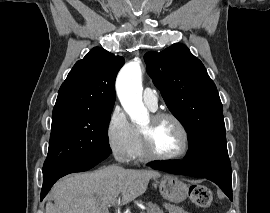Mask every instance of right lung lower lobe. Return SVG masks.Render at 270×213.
I'll use <instances>...</instances> for the list:
<instances>
[{
    "instance_id": "1",
    "label": "right lung lower lobe",
    "mask_w": 270,
    "mask_h": 213,
    "mask_svg": "<svg viewBox=\"0 0 270 213\" xmlns=\"http://www.w3.org/2000/svg\"><path fill=\"white\" fill-rule=\"evenodd\" d=\"M108 156L109 155H99L85 161L71 162L59 166L43 168L41 200L46 196L52 185L59 178L70 173L87 171L97 165L99 162L106 159Z\"/></svg>"
}]
</instances>
